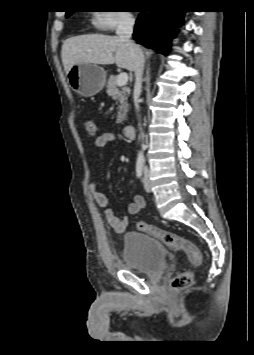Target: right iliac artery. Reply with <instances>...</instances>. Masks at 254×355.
<instances>
[{
	"instance_id": "1",
	"label": "right iliac artery",
	"mask_w": 254,
	"mask_h": 355,
	"mask_svg": "<svg viewBox=\"0 0 254 355\" xmlns=\"http://www.w3.org/2000/svg\"><path fill=\"white\" fill-rule=\"evenodd\" d=\"M143 166H144V158L142 156H139L136 162V174L137 177L139 178H141L143 174Z\"/></svg>"
}]
</instances>
